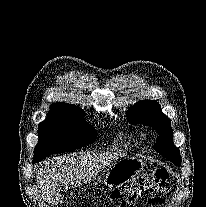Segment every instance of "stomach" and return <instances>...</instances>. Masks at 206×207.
Wrapping results in <instances>:
<instances>
[{"mask_svg":"<svg viewBox=\"0 0 206 207\" xmlns=\"http://www.w3.org/2000/svg\"><path fill=\"white\" fill-rule=\"evenodd\" d=\"M144 166L145 164L141 159L124 158L108 169L103 182L110 188L122 186L142 172Z\"/></svg>","mask_w":206,"mask_h":207,"instance_id":"0dacf381","label":"stomach"}]
</instances>
